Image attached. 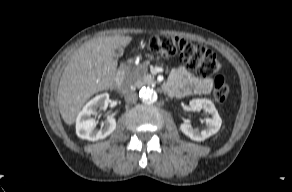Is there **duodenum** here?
Returning <instances> with one entry per match:
<instances>
[{"instance_id":"1","label":"duodenum","mask_w":292,"mask_h":192,"mask_svg":"<svg viewBox=\"0 0 292 192\" xmlns=\"http://www.w3.org/2000/svg\"><path fill=\"white\" fill-rule=\"evenodd\" d=\"M125 71V66H121L119 70L117 71L116 77H115V87H118L122 80H123V75Z\"/></svg>"}]
</instances>
